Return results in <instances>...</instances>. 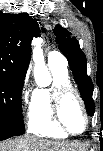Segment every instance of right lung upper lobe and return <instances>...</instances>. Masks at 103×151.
<instances>
[{
  "mask_svg": "<svg viewBox=\"0 0 103 151\" xmlns=\"http://www.w3.org/2000/svg\"><path fill=\"white\" fill-rule=\"evenodd\" d=\"M38 36V23L28 14L0 12V70L24 77L31 57V41Z\"/></svg>",
  "mask_w": 103,
  "mask_h": 151,
  "instance_id": "cb5924a9",
  "label": "right lung upper lobe"
}]
</instances>
